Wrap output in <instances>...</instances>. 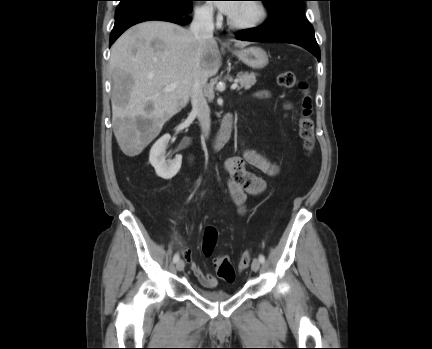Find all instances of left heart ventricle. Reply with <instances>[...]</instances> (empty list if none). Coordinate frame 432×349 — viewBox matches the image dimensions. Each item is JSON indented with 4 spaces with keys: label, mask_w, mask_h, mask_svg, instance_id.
<instances>
[{
    "label": "left heart ventricle",
    "mask_w": 432,
    "mask_h": 349,
    "mask_svg": "<svg viewBox=\"0 0 432 349\" xmlns=\"http://www.w3.org/2000/svg\"><path fill=\"white\" fill-rule=\"evenodd\" d=\"M258 16V9L253 3H241L238 4L236 10L230 15V17L237 22H248L255 19Z\"/></svg>",
    "instance_id": "left-heart-ventricle-1"
}]
</instances>
